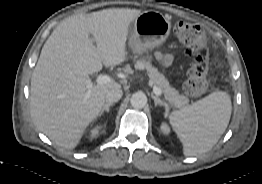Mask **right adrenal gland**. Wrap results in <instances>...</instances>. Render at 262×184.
<instances>
[{"label": "right adrenal gland", "instance_id": "2a0ac1e0", "mask_svg": "<svg viewBox=\"0 0 262 184\" xmlns=\"http://www.w3.org/2000/svg\"><path fill=\"white\" fill-rule=\"evenodd\" d=\"M112 105H113L112 103H106V104L103 106L101 112L99 113V117H101L105 112H106V113H109V109H110V107H111Z\"/></svg>", "mask_w": 262, "mask_h": 184}]
</instances>
